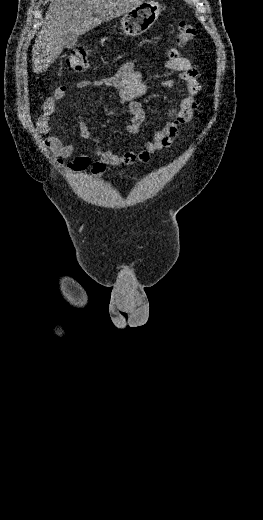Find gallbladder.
<instances>
[{"instance_id": "gallbladder-1", "label": "gallbladder", "mask_w": 263, "mask_h": 520, "mask_svg": "<svg viewBox=\"0 0 263 520\" xmlns=\"http://www.w3.org/2000/svg\"><path fill=\"white\" fill-rule=\"evenodd\" d=\"M65 40H67V44L65 47L67 48H73L75 47L76 43H77V39L72 35L70 34L69 36H67L65 38Z\"/></svg>"}]
</instances>
